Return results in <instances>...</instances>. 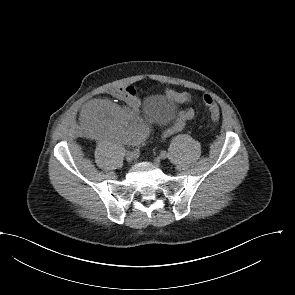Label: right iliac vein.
Wrapping results in <instances>:
<instances>
[{
    "label": "right iliac vein",
    "mask_w": 295,
    "mask_h": 295,
    "mask_svg": "<svg viewBox=\"0 0 295 295\" xmlns=\"http://www.w3.org/2000/svg\"><path fill=\"white\" fill-rule=\"evenodd\" d=\"M134 158H135V155L133 154V152L128 151V152L126 153V160H127L128 162H132V161L134 160Z\"/></svg>",
    "instance_id": "1"
}]
</instances>
